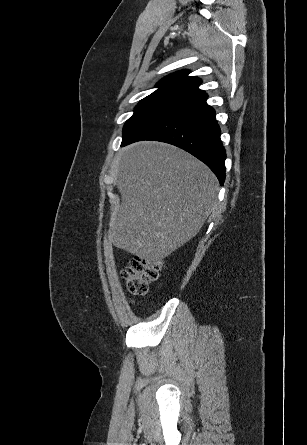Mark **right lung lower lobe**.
<instances>
[{
    "label": "right lung lower lobe",
    "mask_w": 307,
    "mask_h": 445,
    "mask_svg": "<svg viewBox=\"0 0 307 445\" xmlns=\"http://www.w3.org/2000/svg\"><path fill=\"white\" fill-rule=\"evenodd\" d=\"M207 94L186 101L176 109L123 138L121 146L141 140H155L180 147L203 161L225 180L226 152L220 140L215 111L206 103Z\"/></svg>",
    "instance_id": "98d812e1"
}]
</instances>
